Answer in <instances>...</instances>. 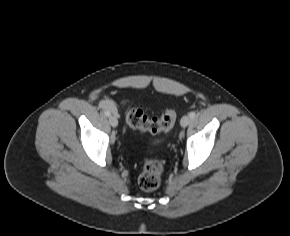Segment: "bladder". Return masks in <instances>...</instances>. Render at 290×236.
Here are the masks:
<instances>
[{"label":"bladder","instance_id":"bladder-1","mask_svg":"<svg viewBox=\"0 0 290 236\" xmlns=\"http://www.w3.org/2000/svg\"><path fill=\"white\" fill-rule=\"evenodd\" d=\"M156 143H157V141H153V142H152V144H156Z\"/></svg>","mask_w":290,"mask_h":236}]
</instances>
